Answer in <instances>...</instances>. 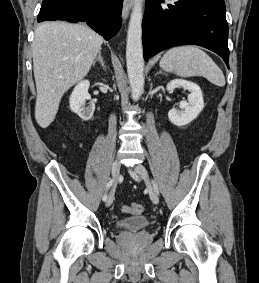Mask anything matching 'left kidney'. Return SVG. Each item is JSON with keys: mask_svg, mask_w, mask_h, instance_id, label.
Masks as SVG:
<instances>
[{"mask_svg": "<svg viewBox=\"0 0 259 283\" xmlns=\"http://www.w3.org/2000/svg\"><path fill=\"white\" fill-rule=\"evenodd\" d=\"M176 88H184L190 92L188 102L181 101L179 105L181 110L171 109L168 112V118L174 125L184 126L192 122L202 111L204 107L203 96L200 87L190 81L175 79L166 86L168 91H173Z\"/></svg>", "mask_w": 259, "mask_h": 283, "instance_id": "obj_1", "label": "left kidney"}]
</instances>
